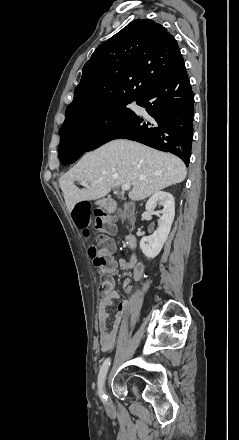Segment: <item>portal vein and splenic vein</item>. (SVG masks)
Masks as SVG:
<instances>
[{"mask_svg": "<svg viewBox=\"0 0 239 440\" xmlns=\"http://www.w3.org/2000/svg\"><path fill=\"white\" fill-rule=\"evenodd\" d=\"M81 186H88V184H86V182H81ZM130 188H131V184H124L121 190L122 192H125V190H130Z\"/></svg>", "mask_w": 239, "mask_h": 440, "instance_id": "portal-vein-and-splenic-vein-1", "label": "portal vein and splenic vein"}]
</instances>
